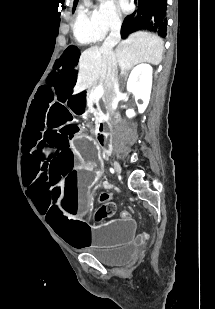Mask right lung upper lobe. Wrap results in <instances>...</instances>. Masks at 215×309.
<instances>
[{
  "label": "right lung upper lobe",
  "mask_w": 215,
  "mask_h": 309,
  "mask_svg": "<svg viewBox=\"0 0 215 309\" xmlns=\"http://www.w3.org/2000/svg\"><path fill=\"white\" fill-rule=\"evenodd\" d=\"M77 2V0H74V3H76Z\"/></svg>",
  "instance_id": "1"
}]
</instances>
